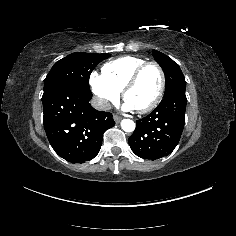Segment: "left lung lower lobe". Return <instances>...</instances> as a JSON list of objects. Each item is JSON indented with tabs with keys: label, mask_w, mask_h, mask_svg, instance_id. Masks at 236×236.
Segmentation results:
<instances>
[{
	"label": "left lung lower lobe",
	"mask_w": 236,
	"mask_h": 236,
	"mask_svg": "<svg viewBox=\"0 0 236 236\" xmlns=\"http://www.w3.org/2000/svg\"><path fill=\"white\" fill-rule=\"evenodd\" d=\"M186 104L185 89L164 95L152 113L137 121L136 129L128 139L132 151L148 160L169 155L183 132Z\"/></svg>",
	"instance_id": "0a47b994"
}]
</instances>
